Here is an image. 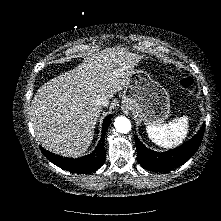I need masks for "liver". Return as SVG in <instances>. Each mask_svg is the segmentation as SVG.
I'll return each instance as SVG.
<instances>
[{"instance_id":"liver-1","label":"liver","mask_w":221,"mask_h":221,"mask_svg":"<svg viewBox=\"0 0 221 221\" xmlns=\"http://www.w3.org/2000/svg\"><path fill=\"white\" fill-rule=\"evenodd\" d=\"M142 59V55L121 48H106L88 55L75 69L44 83L29 112L43 147L66 157L82 156L92 143L102 111L96 100L106 99L109 105Z\"/></svg>"}]
</instances>
